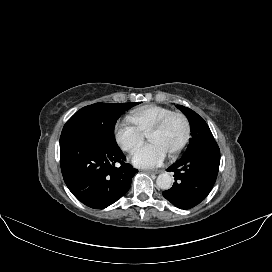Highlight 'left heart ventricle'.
<instances>
[{
	"mask_svg": "<svg viewBox=\"0 0 272 272\" xmlns=\"http://www.w3.org/2000/svg\"><path fill=\"white\" fill-rule=\"evenodd\" d=\"M183 135L184 124L181 119L175 118L162 131L148 133L147 139L158 143L168 154L180 143Z\"/></svg>",
	"mask_w": 272,
	"mask_h": 272,
	"instance_id": "left-heart-ventricle-1",
	"label": "left heart ventricle"
}]
</instances>
